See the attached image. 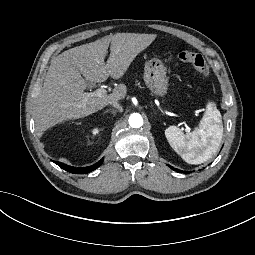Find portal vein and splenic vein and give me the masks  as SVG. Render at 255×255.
<instances>
[{
	"label": "portal vein and splenic vein",
	"mask_w": 255,
	"mask_h": 255,
	"mask_svg": "<svg viewBox=\"0 0 255 255\" xmlns=\"http://www.w3.org/2000/svg\"><path fill=\"white\" fill-rule=\"evenodd\" d=\"M106 94V89L104 87H99L97 90L92 92L85 93L84 99L92 98V97H104Z\"/></svg>",
	"instance_id": "1"
}]
</instances>
